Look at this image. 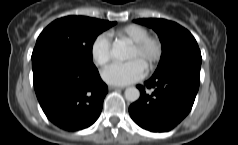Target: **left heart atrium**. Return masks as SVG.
<instances>
[{"instance_id": "1", "label": "left heart atrium", "mask_w": 238, "mask_h": 145, "mask_svg": "<svg viewBox=\"0 0 238 145\" xmlns=\"http://www.w3.org/2000/svg\"><path fill=\"white\" fill-rule=\"evenodd\" d=\"M144 75V66L140 61L131 59L123 63H113L102 71V78L112 85H127L140 80Z\"/></svg>"}]
</instances>
